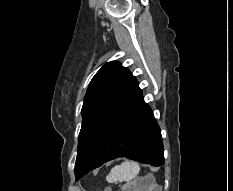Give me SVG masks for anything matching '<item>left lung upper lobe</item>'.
<instances>
[{
	"label": "left lung upper lobe",
	"instance_id": "left-lung-upper-lobe-1",
	"mask_svg": "<svg viewBox=\"0 0 233 191\" xmlns=\"http://www.w3.org/2000/svg\"><path fill=\"white\" fill-rule=\"evenodd\" d=\"M138 81L119 62H108L91 80L82 107L75 174L88 158L94 144L123 106Z\"/></svg>",
	"mask_w": 233,
	"mask_h": 191
}]
</instances>
